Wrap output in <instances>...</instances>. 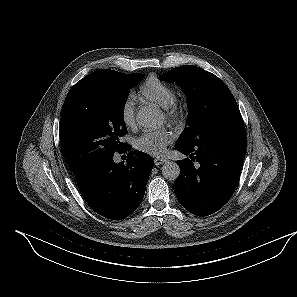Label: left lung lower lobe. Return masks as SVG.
I'll use <instances>...</instances> for the list:
<instances>
[{
	"instance_id": "obj_1",
	"label": "left lung lower lobe",
	"mask_w": 297,
	"mask_h": 297,
	"mask_svg": "<svg viewBox=\"0 0 297 297\" xmlns=\"http://www.w3.org/2000/svg\"><path fill=\"white\" fill-rule=\"evenodd\" d=\"M190 159L178 160L174 192L180 204L197 216L221 209L232 196L241 174L246 137L243 127L213 136L194 148L176 144ZM196 160L199 164L194 165Z\"/></svg>"
}]
</instances>
